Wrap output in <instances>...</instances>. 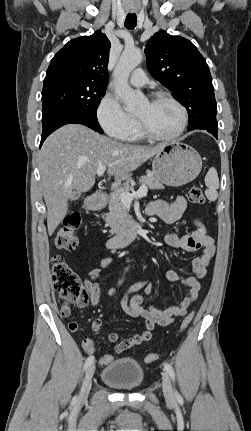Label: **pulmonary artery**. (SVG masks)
Listing matches in <instances>:
<instances>
[{"label":"pulmonary artery","instance_id":"obj_1","mask_svg":"<svg viewBox=\"0 0 251 431\" xmlns=\"http://www.w3.org/2000/svg\"><path fill=\"white\" fill-rule=\"evenodd\" d=\"M148 78L142 69H136L130 76V83L136 87H143L147 84Z\"/></svg>","mask_w":251,"mask_h":431}]
</instances>
